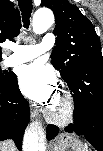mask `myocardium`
I'll use <instances>...</instances> for the list:
<instances>
[{
  "label": "myocardium",
  "instance_id": "f54148a6",
  "mask_svg": "<svg viewBox=\"0 0 103 151\" xmlns=\"http://www.w3.org/2000/svg\"><path fill=\"white\" fill-rule=\"evenodd\" d=\"M57 97L60 100V107L58 109L49 106L45 115L49 122L57 126H66L70 124L74 119L75 106L73 97L66 89H61Z\"/></svg>",
  "mask_w": 103,
  "mask_h": 151
}]
</instances>
